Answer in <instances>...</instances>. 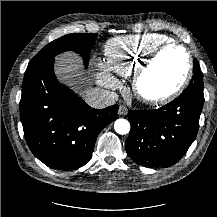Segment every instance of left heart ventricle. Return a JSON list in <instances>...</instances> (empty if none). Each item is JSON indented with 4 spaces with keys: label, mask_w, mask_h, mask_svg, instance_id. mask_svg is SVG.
Instances as JSON below:
<instances>
[{
    "label": "left heart ventricle",
    "mask_w": 217,
    "mask_h": 217,
    "mask_svg": "<svg viewBox=\"0 0 217 217\" xmlns=\"http://www.w3.org/2000/svg\"><path fill=\"white\" fill-rule=\"evenodd\" d=\"M187 66L184 51L177 48L166 50L143 78L142 92L148 96H159L172 91L181 82Z\"/></svg>",
    "instance_id": "left-heart-ventricle-1"
}]
</instances>
